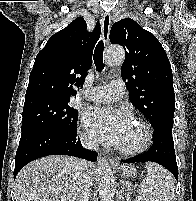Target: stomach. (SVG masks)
I'll list each match as a JSON object with an SVG mask.
<instances>
[{"label":"stomach","instance_id":"1","mask_svg":"<svg viewBox=\"0 0 196 201\" xmlns=\"http://www.w3.org/2000/svg\"><path fill=\"white\" fill-rule=\"evenodd\" d=\"M120 170L124 178H133L137 174L136 169L132 166H123Z\"/></svg>","mask_w":196,"mask_h":201}]
</instances>
